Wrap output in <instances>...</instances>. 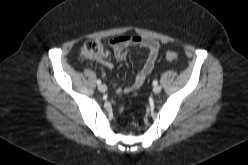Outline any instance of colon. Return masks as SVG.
Returning <instances> with one entry per match:
<instances>
[{
  "instance_id": "1",
  "label": "colon",
  "mask_w": 248,
  "mask_h": 165,
  "mask_svg": "<svg viewBox=\"0 0 248 165\" xmlns=\"http://www.w3.org/2000/svg\"><path fill=\"white\" fill-rule=\"evenodd\" d=\"M107 55L105 46L98 40H89L85 42L80 50L79 57L83 61L99 60ZM166 58L174 61L178 58L176 52L169 51L166 53Z\"/></svg>"
}]
</instances>
